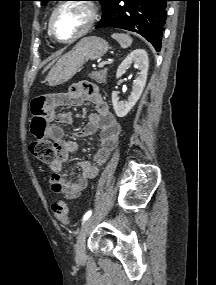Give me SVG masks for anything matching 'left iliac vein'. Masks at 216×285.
<instances>
[{"mask_svg": "<svg viewBox=\"0 0 216 285\" xmlns=\"http://www.w3.org/2000/svg\"><path fill=\"white\" fill-rule=\"evenodd\" d=\"M93 221V217H89L84 223L82 224L76 242V258L83 259L85 257V240L91 223Z\"/></svg>", "mask_w": 216, "mask_h": 285, "instance_id": "obj_1", "label": "left iliac vein"}]
</instances>
